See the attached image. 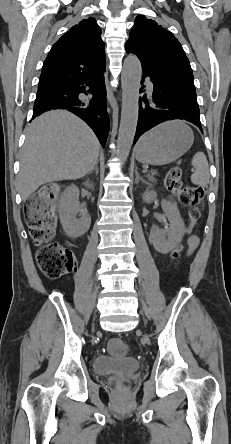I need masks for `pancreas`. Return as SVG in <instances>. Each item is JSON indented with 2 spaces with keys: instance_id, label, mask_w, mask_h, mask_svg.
<instances>
[{
  "instance_id": "cf45deb5",
  "label": "pancreas",
  "mask_w": 231,
  "mask_h": 444,
  "mask_svg": "<svg viewBox=\"0 0 231 444\" xmlns=\"http://www.w3.org/2000/svg\"><path fill=\"white\" fill-rule=\"evenodd\" d=\"M155 175H157V171L156 170H151L147 173L146 177L149 181L151 182H155L156 178Z\"/></svg>"
}]
</instances>
